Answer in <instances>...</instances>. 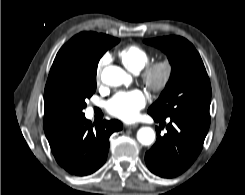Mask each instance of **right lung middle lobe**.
Returning <instances> with one entry per match:
<instances>
[{
    "mask_svg": "<svg viewBox=\"0 0 245 195\" xmlns=\"http://www.w3.org/2000/svg\"><path fill=\"white\" fill-rule=\"evenodd\" d=\"M119 42L108 38L97 47H75L65 52L54 76V86L62 102L75 117H84L85 99L96 90L97 66L102 55Z\"/></svg>",
    "mask_w": 245,
    "mask_h": 195,
    "instance_id": "1",
    "label": "right lung middle lobe"
}]
</instances>
